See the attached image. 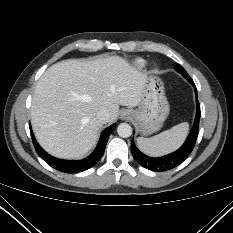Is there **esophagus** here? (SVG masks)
Wrapping results in <instances>:
<instances>
[{"mask_svg": "<svg viewBox=\"0 0 233 233\" xmlns=\"http://www.w3.org/2000/svg\"><path fill=\"white\" fill-rule=\"evenodd\" d=\"M130 117V113L128 111H124L122 114H121V118L122 119H129Z\"/></svg>", "mask_w": 233, "mask_h": 233, "instance_id": "1", "label": "esophagus"}]
</instances>
